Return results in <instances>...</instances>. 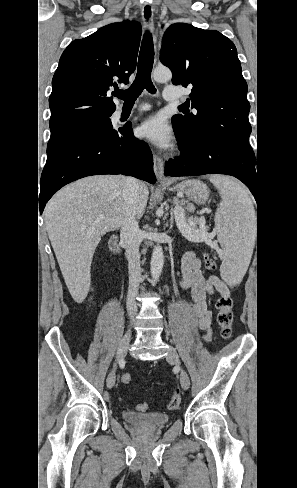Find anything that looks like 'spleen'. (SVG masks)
<instances>
[{"label": "spleen", "mask_w": 297, "mask_h": 488, "mask_svg": "<svg viewBox=\"0 0 297 488\" xmlns=\"http://www.w3.org/2000/svg\"><path fill=\"white\" fill-rule=\"evenodd\" d=\"M210 181L222 198L215 214L217 238L223 250L220 273L228 284L235 285L243 279L252 257L255 210L247 190L235 179L212 175Z\"/></svg>", "instance_id": "1"}]
</instances>
